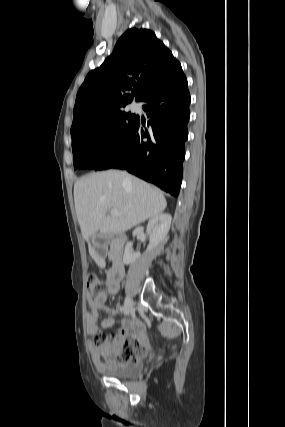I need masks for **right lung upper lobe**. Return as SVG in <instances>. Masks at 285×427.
<instances>
[{"instance_id": "1", "label": "right lung upper lobe", "mask_w": 285, "mask_h": 427, "mask_svg": "<svg viewBox=\"0 0 285 427\" xmlns=\"http://www.w3.org/2000/svg\"><path fill=\"white\" fill-rule=\"evenodd\" d=\"M179 67L152 31L127 30L104 63L86 76L77 93L71 132L121 110L133 100L126 93L132 88L135 100L140 101L151 86Z\"/></svg>"}]
</instances>
